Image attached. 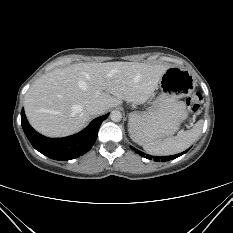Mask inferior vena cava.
Segmentation results:
<instances>
[{
    "instance_id": "602c4592",
    "label": "inferior vena cava",
    "mask_w": 233,
    "mask_h": 233,
    "mask_svg": "<svg viewBox=\"0 0 233 233\" xmlns=\"http://www.w3.org/2000/svg\"><path fill=\"white\" fill-rule=\"evenodd\" d=\"M86 109L87 111L91 114V115H100L103 114L106 111V107L102 102L99 101H90L87 105H86Z\"/></svg>"
}]
</instances>
